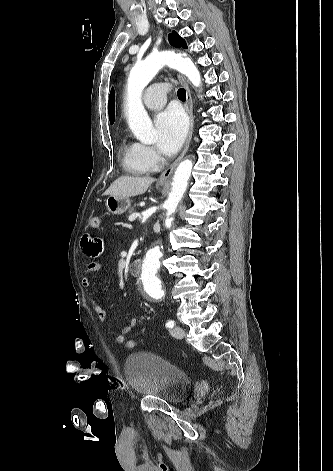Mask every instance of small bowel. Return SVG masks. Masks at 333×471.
<instances>
[{"label":"small bowel","mask_w":333,"mask_h":471,"mask_svg":"<svg viewBox=\"0 0 333 471\" xmlns=\"http://www.w3.org/2000/svg\"><path fill=\"white\" fill-rule=\"evenodd\" d=\"M82 248L84 253L91 258L96 257L101 250V241L98 238H94L90 235H85L82 238ZM101 270V265L97 261H90L86 267L85 272L82 275L81 282L84 288L92 289L94 286V276ZM91 304L95 308L98 318L101 323L107 322V313L105 309L97 303L95 299H91ZM138 325V319L133 317L130 319L128 325L121 329L120 334L115 338V341L119 344H124L126 341V335L130 333Z\"/></svg>","instance_id":"obj_1"}]
</instances>
